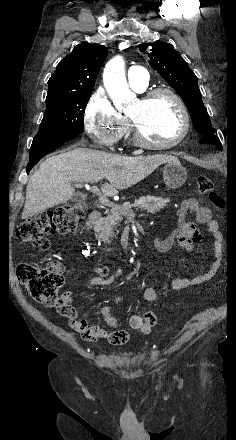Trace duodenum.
Here are the masks:
<instances>
[{
  "label": "duodenum",
  "instance_id": "duodenum-1",
  "mask_svg": "<svg viewBox=\"0 0 236 440\" xmlns=\"http://www.w3.org/2000/svg\"><path fill=\"white\" fill-rule=\"evenodd\" d=\"M101 217H102V213L100 211H98V210L92 211L87 218V221L85 223V228L88 231H90L94 227V225L98 221H100Z\"/></svg>",
  "mask_w": 236,
  "mask_h": 440
}]
</instances>
